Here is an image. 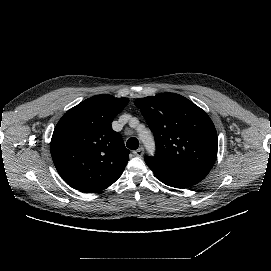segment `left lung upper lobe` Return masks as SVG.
I'll return each instance as SVG.
<instances>
[{
  "label": "left lung upper lobe",
  "instance_id": "left-lung-upper-lobe-1",
  "mask_svg": "<svg viewBox=\"0 0 271 271\" xmlns=\"http://www.w3.org/2000/svg\"><path fill=\"white\" fill-rule=\"evenodd\" d=\"M135 105L154 133L155 157L167 162L211 169L217 156V133L210 117L175 93L138 98Z\"/></svg>",
  "mask_w": 271,
  "mask_h": 271
}]
</instances>
